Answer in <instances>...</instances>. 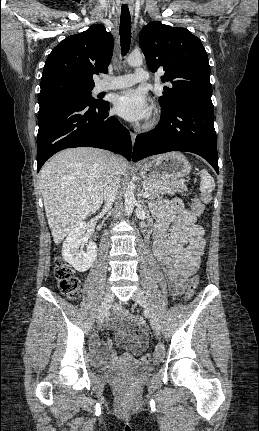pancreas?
I'll use <instances>...</instances> for the list:
<instances>
[{
    "label": "pancreas",
    "mask_w": 259,
    "mask_h": 431,
    "mask_svg": "<svg viewBox=\"0 0 259 431\" xmlns=\"http://www.w3.org/2000/svg\"><path fill=\"white\" fill-rule=\"evenodd\" d=\"M143 187L148 190L149 200L155 199L159 195H174L176 192L187 191V186L181 180L149 179L143 182Z\"/></svg>",
    "instance_id": "pancreas-1"
}]
</instances>
